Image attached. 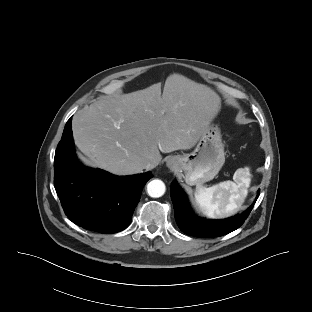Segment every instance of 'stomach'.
Segmentation results:
<instances>
[{
    "instance_id": "obj_1",
    "label": "stomach",
    "mask_w": 312,
    "mask_h": 312,
    "mask_svg": "<svg viewBox=\"0 0 312 312\" xmlns=\"http://www.w3.org/2000/svg\"><path fill=\"white\" fill-rule=\"evenodd\" d=\"M173 158L176 160L173 168L184 173L188 185H202L212 180L225 162L220 129L217 125H209L191 153Z\"/></svg>"
}]
</instances>
